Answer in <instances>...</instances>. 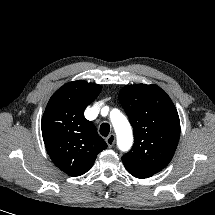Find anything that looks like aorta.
<instances>
[{
	"label": "aorta",
	"mask_w": 215,
	"mask_h": 215,
	"mask_svg": "<svg viewBox=\"0 0 215 215\" xmlns=\"http://www.w3.org/2000/svg\"><path fill=\"white\" fill-rule=\"evenodd\" d=\"M111 122L117 136L119 149L129 150L133 142V134L128 120L119 110L114 109L111 112Z\"/></svg>",
	"instance_id": "aorta-1"
}]
</instances>
